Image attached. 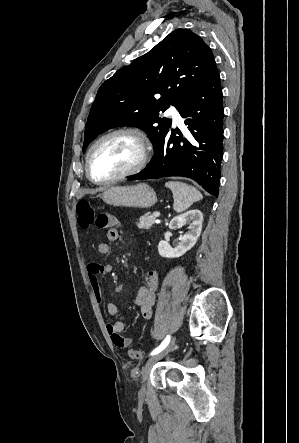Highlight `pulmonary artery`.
Returning <instances> with one entry per match:
<instances>
[{
	"mask_svg": "<svg viewBox=\"0 0 299 443\" xmlns=\"http://www.w3.org/2000/svg\"><path fill=\"white\" fill-rule=\"evenodd\" d=\"M167 115H168L169 117H171V119H172V121H173L174 124H176V125H182V123H183L182 117H181V115L179 114V112H178L174 107H170V108L167 110Z\"/></svg>",
	"mask_w": 299,
	"mask_h": 443,
	"instance_id": "obj_1",
	"label": "pulmonary artery"
}]
</instances>
